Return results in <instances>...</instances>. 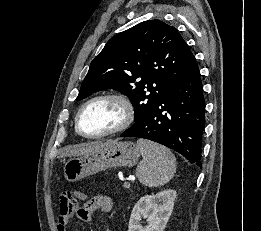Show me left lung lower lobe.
I'll return each mask as SVG.
<instances>
[{
  "instance_id": "1",
  "label": "left lung lower lobe",
  "mask_w": 261,
  "mask_h": 231,
  "mask_svg": "<svg viewBox=\"0 0 261 231\" xmlns=\"http://www.w3.org/2000/svg\"><path fill=\"white\" fill-rule=\"evenodd\" d=\"M205 100L197 62L173 83L163 99L121 137H139L167 146L201 166Z\"/></svg>"
}]
</instances>
